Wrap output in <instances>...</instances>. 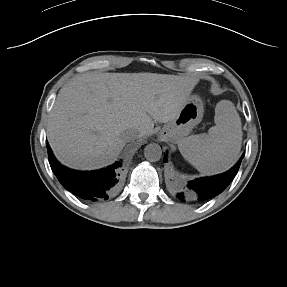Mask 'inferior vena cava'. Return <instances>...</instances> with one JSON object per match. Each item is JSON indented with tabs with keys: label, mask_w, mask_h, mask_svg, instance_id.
Here are the masks:
<instances>
[{
	"label": "inferior vena cava",
	"mask_w": 287,
	"mask_h": 287,
	"mask_svg": "<svg viewBox=\"0 0 287 287\" xmlns=\"http://www.w3.org/2000/svg\"><path fill=\"white\" fill-rule=\"evenodd\" d=\"M141 136H143V134L134 129H128L122 133V137L126 142L135 140Z\"/></svg>",
	"instance_id": "inferior-vena-cava-1"
}]
</instances>
